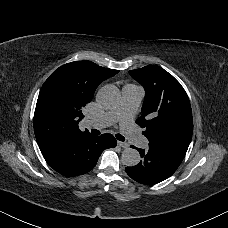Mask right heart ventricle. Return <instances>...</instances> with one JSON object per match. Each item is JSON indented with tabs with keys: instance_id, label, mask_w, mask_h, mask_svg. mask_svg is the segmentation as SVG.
Returning a JSON list of instances; mask_svg holds the SVG:
<instances>
[{
	"instance_id": "right-heart-ventricle-1",
	"label": "right heart ventricle",
	"mask_w": 228,
	"mask_h": 228,
	"mask_svg": "<svg viewBox=\"0 0 228 228\" xmlns=\"http://www.w3.org/2000/svg\"><path fill=\"white\" fill-rule=\"evenodd\" d=\"M112 86H114L116 89H117V91H118V94L120 93V91H123V90H125V87H122L121 89H119L117 86H115V85H112Z\"/></svg>"
}]
</instances>
